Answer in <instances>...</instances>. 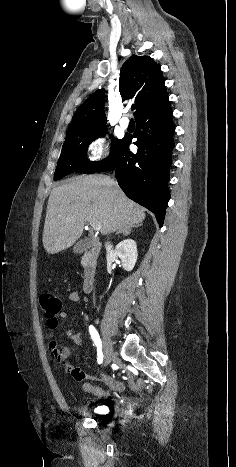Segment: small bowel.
<instances>
[{
    "instance_id": "c3829d8e",
    "label": "small bowel",
    "mask_w": 236,
    "mask_h": 467,
    "mask_svg": "<svg viewBox=\"0 0 236 467\" xmlns=\"http://www.w3.org/2000/svg\"><path fill=\"white\" fill-rule=\"evenodd\" d=\"M69 300L73 303H80L81 297L78 291L72 290L69 293ZM67 313L60 311L53 317H46V326L49 330L53 331L59 327V320L66 319ZM67 339L74 345L79 346L82 343V331L80 330H67L65 332ZM50 347L54 358L61 363L64 371L69 374L76 381H85L82 386L83 391L93 394L98 398L108 395V391L95 386L93 381H105L109 384L111 390H118L121 388V383L118 380L108 377H99L85 373L79 366L72 364L68 361L70 356V348L67 346H60L55 341L50 342Z\"/></svg>"
}]
</instances>
